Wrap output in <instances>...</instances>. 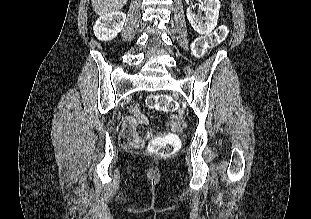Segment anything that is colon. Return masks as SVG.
<instances>
[{"label":"colon","instance_id":"obj_1","mask_svg":"<svg viewBox=\"0 0 311 219\" xmlns=\"http://www.w3.org/2000/svg\"><path fill=\"white\" fill-rule=\"evenodd\" d=\"M227 36V28L224 25L216 28L212 34L199 37L194 43V53L197 56L204 55L209 48L222 42ZM146 104L150 109L159 111H172L174 102L166 95H150ZM126 136V135H125ZM125 136L120 138L121 143L127 144ZM179 147V140L172 135H161L153 138L149 143V151L159 156L173 155Z\"/></svg>","mask_w":311,"mask_h":219}]
</instances>
